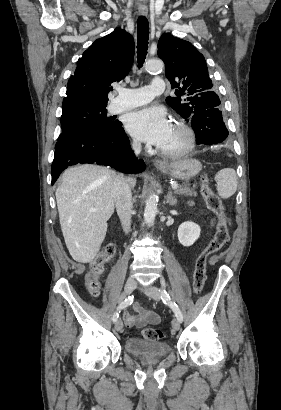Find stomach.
Wrapping results in <instances>:
<instances>
[{
  "mask_svg": "<svg viewBox=\"0 0 281 410\" xmlns=\"http://www.w3.org/2000/svg\"><path fill=\"white\" fill-rule=\"evenodd\" d=\"M202 169L201 163L196 159H180L176 161L167 162L159 170L170 176L181 179L189 180L195 177Z\"/></svg>",
  "mask_w": 281,
  "mask_h": 410,
  "instance_id": "obj_1",
  "label": "stomach"
}]
</instances>
